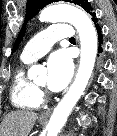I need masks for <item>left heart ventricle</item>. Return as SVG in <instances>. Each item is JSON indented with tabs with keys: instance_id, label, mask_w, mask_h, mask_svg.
<instances>
[{
	"instance_id": "left-heart-ventricle-1",
	"label": "left heart ventricle",
	"mask_w": 117,
	"mask_h": 136,
	"mask_svg": "<svg viewBox=\"0 0 117 136\" xmlns=\"http://www.w3.org/2000/svg\"><path fill=\"white\" fill-rule=\"evenodd\" d=\"M46 81V77H43L41 80H39L38 84L44 85Z\"/></svg>"
}]
</instances>
